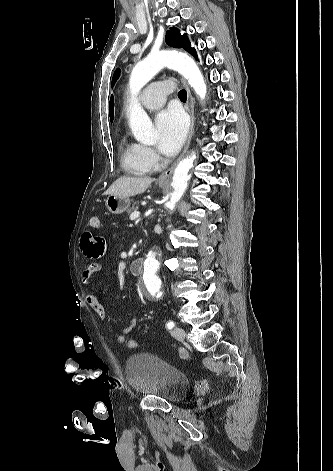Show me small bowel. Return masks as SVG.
Masks as SVG:
<instances>
[{"label":"small bowel","instance_id":"small-bowel-1","mask_svg":"<svg viewBox=\"0 0 333 471\" xmlns=\"http://www.w3.org/2000/svg\"><path fill=\"white\" fill-rule=\"evenodd\" d=\"M81 249L87 258L95 260L104 251V241L100 237L93 236L90 232H85L81 238ZM102 271L103 269L99 263L95 261L90 262L82 275V284L85 287H91L95 276ZM87 300L96 312L98 318L101 321H106L107 312L99 299L93 294H88ZM138 323L139 320L136 317L131 318L129 324L125 326L122 333L117 336L116 341L120 344H125L127 342V335L138 326Z\"/></svg>","mask_w":333,"mask_h":471}]
</instances>
